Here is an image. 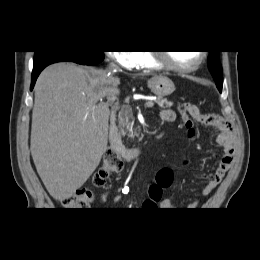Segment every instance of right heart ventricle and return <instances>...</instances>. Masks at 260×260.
Instances as JSON below:
<instances>
[{"mask_svg": "<svg viewBox=\"0 0 260 260\" xmlns=\"http://www.w3.org/2000/svg\"><path fill=\"white\" fill-rule=\"evenodd\" d=\"M138 66L149 69H159L161 67L151 58L148 52L140 53V61Z\"/></svg>", "mask_w": 260, "mask_h": 260, "instance_id": "1", "label": "right heart ventricle"}]
</instances>
